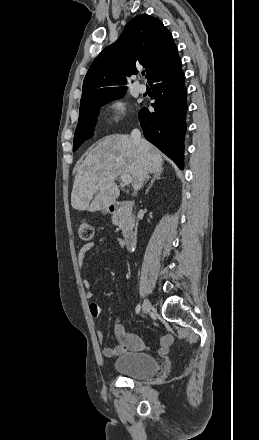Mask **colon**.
Here are the masks:
<instances>
[{
	"mask_svg": "<svg viewBox=\"0 0 259 440\" xmlns=\"http://www.w3.org/2000/svg\"><path fill=\"white\" fill-rule=\"evenodd\" d=\"M78 236L84 242H90L95 237V229L89 222H83L79 225Z\"/></svg>",
	"mask_w": 259,
	"mask_h": 440,
	"instance_id": "1",
	"label": "colon"
}]
</instances>
